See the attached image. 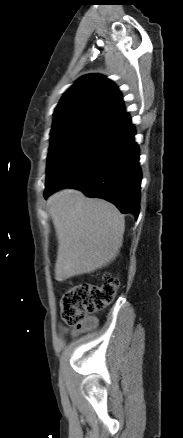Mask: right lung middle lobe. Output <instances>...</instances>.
<instances>
[{
  "label": "right lung middle lobe",
  "mask_w": 183,
  "mask_h": 438,
  "mask_svg": "<svg viewBox=\"0 0 183 438\" xmlns=\"http://www.w3.org/2000/svg\"><path fill=\"white\" fill-rule=\"evenodd\" d=\"M97 130L93 127H75L51 133L46 185L72 160Z\"/></svg>",
  "instance_id": "obj_1"
}]
</instances>
